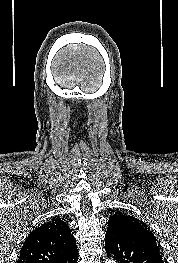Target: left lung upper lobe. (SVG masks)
I'll return each instance as SVG.
<instances>
[{
	"label": "left lung upper lobe",
	"mask_w": 178,
	"mask_h": 263,
	"mask_svg": "<svg viewBox=\"0 0 178 263\" xmlns=\"http://www.w3.org/2000/svg\"><path fill=\"white\" fill-rule=\"evenodd\" d=\"M110 218H117V219L121 220V222H123L127 225L141 229V230L147 232L148 234L154 236L152 231L149 229V227L146 225L145 222H143V221H141V220H139L133 216H130V215L124 214V213H116L113 216H111Z\"/></svg>",
	"instance_id": "left-lung-upper-lobe-1"
}]
</instances>
